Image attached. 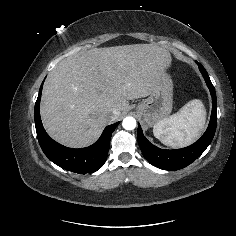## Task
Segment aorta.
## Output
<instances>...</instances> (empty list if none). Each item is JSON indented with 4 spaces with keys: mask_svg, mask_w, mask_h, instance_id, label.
I'll return each instance as SVG.
<instances>
[{
    "mask_svg": "<svg viewBox=\"0 0 236 236\" xmlns=\"http://www.w3.org/2000/svg\"><path fill=\"white\" fill-rule=\"evenodd\" d=\"M122 126L125 130H133L136 127V120L133 117H126L123 119Z\"/></svg>",
    "mask_w": 236,
    "mask_h": 236,
    "instance_id": "762f6f07",
    "label": "aorta"
}]
</instances>
